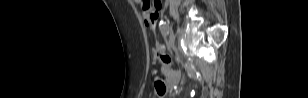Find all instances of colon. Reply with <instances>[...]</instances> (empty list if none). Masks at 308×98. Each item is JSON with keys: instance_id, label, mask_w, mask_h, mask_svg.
I'll return each mask as SVG.
<instances>
[{"instance_id": "5ec220e1", "label": "colon", "mask_w": 308, "mask_h": 98, "mask_svg": "<svg viewBox=\"0 0 308 98\" xmlns=\"http://www.w3.org/2000/svg\"><path fill=\"white\" fill-rule=\"evenodd\" d=\"M161 1L155 0L153 1V7L150 5V1H147V8L148 9H141L139 11V14L142 17V20L144 21V26L147 28V31H156L157 26L156 24H152L155 22L158 14L157 10L160 8ZM156 56L166 65H170L172 60L171 57L163 52V48L158 46L156 49ZM155 87L159 94H163L165 92V83L163 80H157L155 82Z\"/></svg>"}]
</instances>
